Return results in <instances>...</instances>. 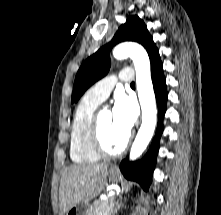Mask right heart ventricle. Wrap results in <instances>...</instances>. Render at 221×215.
<instances>
[{
  "label": "right heart ventricle",
  "instance_id": "1",
  "mask_svg": "<svg viewBox=\"0 0 221 215\" xmlns=\"http://www.w3.org/2000/svg\"><path fill=\"white\" fill-rule=\"evenodd\" d=\"M101 102L87 93L75 109L70 132V157L75 163H94L100 160L101 156L90 142V129Z\"/></svg>",
  "mask_w": 221,
  "mask_h": 215
}]
</instances>
